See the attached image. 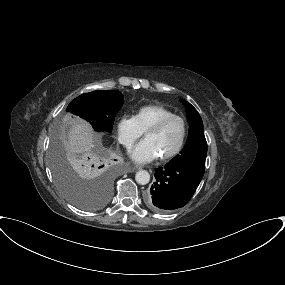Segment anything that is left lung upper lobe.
<instances>
[{
  "label": "left lung upper lobe",
  "mask_w": 285,
  "mask_h": 285,
  "mask_svg": "<svg viewBox=\"0 0 285 285\" xmlns=\"http://www.w3.org/2000/svg\"><path fill=\"white\" fill-rule=\"evenodd\" d=\"M186 108L189 127L187 142L180 152L168 164L174 167L186 168L204 175L205 160L207 155V143L204 136L202 119L197 110L187 101L181 99Z\"/></svg>",
  "instance_id": "obj_1"
}]
</instances>
